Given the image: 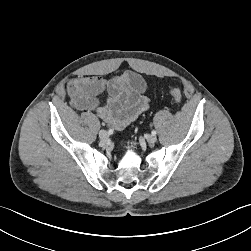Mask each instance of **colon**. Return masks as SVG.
I'll return each mask as SVG.
<instances>
[{
    "label": "colon",
    "mask_w": 251,
    "mask_h": 251,
    "mask_svg": "<svg viewBox=\"0 0 251 251\" xmlns=\"http://www.w3.org/2000/svg\"><path fill=\"white\" fill-rule=\"evenodd\" d=\"M170 95L172 96V98L176 101V102H181L182 100V93L178 88H172L170 90Z\"/></svg>",
    "instance_id": "colon-1"
}]
</instances>
